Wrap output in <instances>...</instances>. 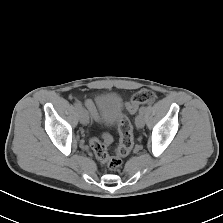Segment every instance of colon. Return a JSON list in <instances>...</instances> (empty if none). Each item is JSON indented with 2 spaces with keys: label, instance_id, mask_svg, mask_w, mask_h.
I'll list each match as a JSON object with an SVG mask.
<instances>
[{
  "label": "colon",
  "instance_id": "colon-1",
  "mask_svg": "<svg viewBox=\"0 0 223 223\" xmlns=\"http://www.w3.org/2000/svg\"><path fill=\"white\" fill-rule=\"evenodd\" d=\"M155 98L153 91L139 90L132 95L130 101L125 105V109L134 113L140 105L152 103ZM118 132L120 142L114 155L108 153V146L112 142L109 134H102L101 139L94 138L91 140V147L96 158L105 163L110 170H117L122 165V158L126 157L133 147V128L130 120L124 114L118 118Z\"/></svg>",
  "mask_w": 223,
  "mask_h": 223
}]
</instances>
